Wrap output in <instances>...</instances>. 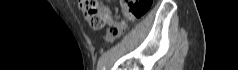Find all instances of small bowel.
<instances>
[{
    "instance_id": "c3829d8e",
    "label": "small bowel",
    "mask_w": 238,
    "mask_h": 70,
    "mask_svg": "<svg viewBox=\"0 0 238 70\" xmlns=\"http://www.w3.org/2000/svg\"><path fill=\"white\" fill-rule=\"evenodd\" d=\"M104 11L106 12L107 14V17H108V24L110 25V28L107 30L106 34H105V39L107 41H112L114 40L115 38L119 37L126 29V23L121 21V22H116L114 21L111 16H110V11L108 8H104ZM114 28H118L120 29L121 31L118 32V33H112L111 32V29H114Z\"/></svg>"
}]
</instances>
